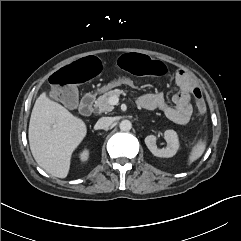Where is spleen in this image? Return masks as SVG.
Here are the masks:
<instances>
[{"mask_svg":"<svg viewBox=\"0 0 241 241\" xmlns=\"http://www.w3.org/2000/svg\"><path fill=\"white\" fill-rule=\"evenodd\" d=\"M206 149V141L205 140H199L197 144H195L189 154L188 157V164H192L197 159H199L202 154L204 153Z\"/></svg>","mask_w":241,"mask_h":241,"instance_id":"spleen-1","label":"spleen"}]
</instances>
